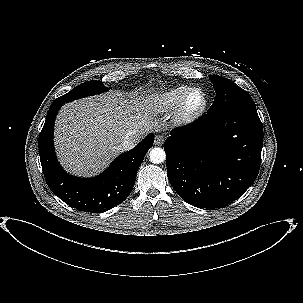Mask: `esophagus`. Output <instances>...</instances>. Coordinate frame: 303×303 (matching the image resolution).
I'll return each instance as SVG.
<instances>
[{
  "label": "esophagus",
  "instance_id": "1",
  "mask_svg": "<svg viewBox=\"0 0 303 303\" xmlns=\"http://www.w3.org/2000/svg\"><path fill=\"white\" fill-rule=\"evenodd\" d=\"M164 136L163 135H157L155 137V145H162L164 142Z\"/></svg>",
  "mask_w": 303,
  "mask_h": 303
}]
</instances>
